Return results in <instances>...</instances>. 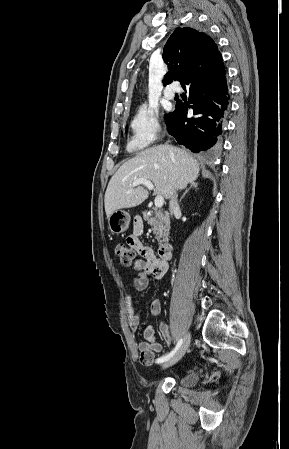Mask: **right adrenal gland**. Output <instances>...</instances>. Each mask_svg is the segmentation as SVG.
<instances>
[{
	"instance_id": "1",
	"label": "right adrenal gland",
	"mask_w": 289,
	"mask_h": 449,
	"mask_svg": "<svg viewBox=\"0 0 289 449\" xmlns=\"http://www.w3.org/2000/svg\"><path fill=\"white\" fill-rule=\"evenodd\" d=\"M189 185H190L189 188H187V189L185 190V192H184L183 195L181 196L179 202L182 201V199L185 197V195L189 192V190H190L191 188L198 189V183L195 182V181H191V182L189 183Z\"/></svg>"
}]
</instances>
